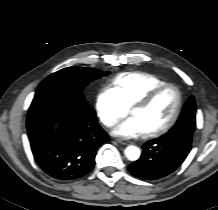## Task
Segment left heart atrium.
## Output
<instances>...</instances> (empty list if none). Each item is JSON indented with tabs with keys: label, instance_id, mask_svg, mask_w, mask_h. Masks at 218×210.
<instances>
[{
	"label": "left heart atrium",
	"instance_id": "left-heart-atrium-1",
	"mask_svg": "<svg viewBox=\"0 0 218 210\" xmlns=\"http://www.w3.org/2000/svg\"><path fill=\"white\" fill-rule=\"evenodd\" d=\"M145 133L144 126L142 125L140 119L136 116L129 117L124 122L119 124L114 130L115 135L125 138H134Z\"/></svg>",
	"mask_w": 218,
	"mask_h": 210
}]
</instances>
